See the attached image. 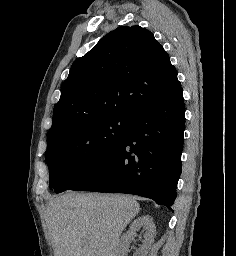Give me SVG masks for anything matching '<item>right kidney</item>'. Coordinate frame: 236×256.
<instances>
[{"instance_id": "right-kidney-1", "label": "right kidney", "mask_w": 236, "mask_h": 256, "mask_svg": "<svg viewBox=\"0 0 236 256\" xmlns=\"http://www.w3.org/2000/svg\"><path fill=\"white\" fill-rule=\"evenodd\" d=\"M140 228L145 230L144 240L142 246H140L139 250H136L133 256H148V252L151 250L152 244H154V236L156 234L155 224L151 216H141V218H137V220L130 224L128 232L123 234L119 242L118 256H126L129 242L133 240L135 232H138Z\"/></svg>"}]
</instances>
